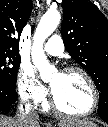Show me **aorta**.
I'll return each mask as SVG.
<instances>
[{"label": "aorta", "instance_id": "1", "mask_svg": "<svg viewBox=\"0 0 108 127\" xmlns=\"http://www.w3.org/2000/svg\"><path fill=\"white\" fill-rule=\"evenodd\" d=\"M60 19L61 16L57 10H49L43 15L35 30L31 57L34 66L40 73L41 79L44 81L51 77L54 68L47 61L43 44L46 38L57 28Z\"/></svg>", "mask_w": 108, "mask_h": 127}]
</instances>
